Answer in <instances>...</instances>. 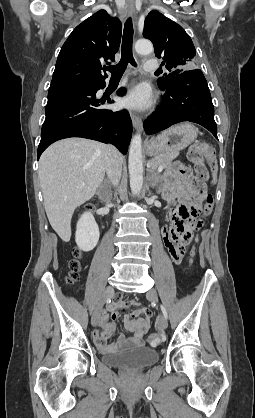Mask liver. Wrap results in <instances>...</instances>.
<instances>
[{
	"mask_svg": "<svg viewBox=\"0 0 255 418\" xmlns=\"http://www.w3.org/2000/svg\"><path fill=\"white\" fill-rule=\"evenodd\" d=\"M106 151L107 146L97 141L68 138L49 146L40 157L45 211L64 242L71 238L75 209L95 195L104 179Z\"/></svg>",
	"mask_w": 255,
	"mask_h": 418,
	"instance_id": "obj_1",
	"label": "liver"
}]
</instances>
